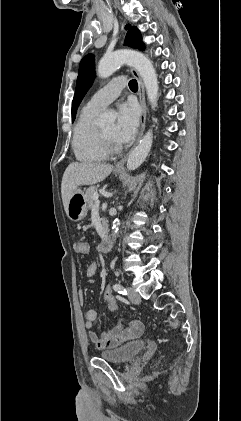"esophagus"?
<instances>
[{"label": "esophagus", "mask_w": 241, "mask_h": 421, "mask_svg": "<svg viewBox=\"0 0 241 421\" xmlns=\"http://www.w3.org/2000/svg\"><path fill=\"white\" fill-rule=\"evenodd\" d=\"M132 75L136 78L137 83H138V96H139V101L141 104V109H142V113H141V118H140V132H139V136L137 141L140 139V137L142 136L144 129H145V123H146V114H147V108H146V102H145V90H144V84L142 81V78L140 77L138 71L131 67L130 68ZM127 156H124L117 164H116V168L117 169H122L124 167V164L126 162Z\"/></svg>", "instance_id": "34e87169"}]
</instances>
